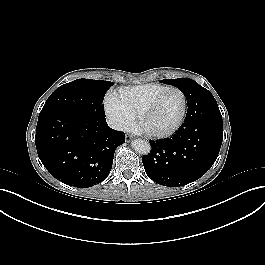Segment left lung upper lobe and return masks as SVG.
<instances>
[{"label":"left lung upper lobe","instance_id":"1","mask_svg":"<svg viewBox=\"0 0 265 265\" xmlns=\"http://www.w3.org/2000/svg\"><path fill=\"white\" fill-rule=\"evenodd\" d=\"M161 82L178 87L182 91V93L185 95L186 98H188L192 90L196 88H203L198 83H196L194 80H191L189 78L162 80Z\"/></svg>","mask_w":265,"mask_h":265}]
</instances>
